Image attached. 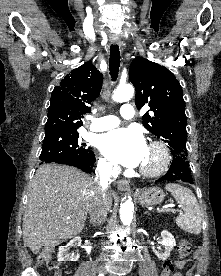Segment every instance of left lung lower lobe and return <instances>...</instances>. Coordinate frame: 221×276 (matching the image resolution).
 <instances>
[{"label": "left lung lower lobe", "instance_id": "left-lung-lower-lobe-1", "mask_svg": "<svg viewBox=\"0 0 221 276\" xmlns=\"http://www.w3.org/2000/svg\"><path fill=\"white\" fill-rule=\"evenodd\" d=\"M177 181L181 180L184 182H189L193 184V178L191 176V171L189 168V162L187 158L174 157L170 169L168 172L159 178L157 181Z\"/></svg>", "mask_w": 221, "mask_h": 276}]
</instances>
